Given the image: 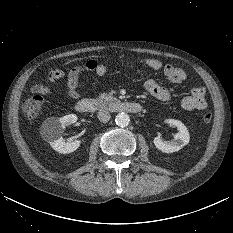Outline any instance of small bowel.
<instances>
[{"mask_svg":"<svg viewBox=\"0 0 233 233\" xmlns=\"http://www.w3.org/2000/svg\"><path fill=\"white\" fill-rule=\"evenodd\" d=\"M140 63L146 65L152 70L163 69L165 76L172 83H182L186 80L187 75L181 68L173 65L163 66L161 61L154 58L141 59ZM83 71H91L98 77H103L107 73V68L104 64L98 62L95 59H89L85 63L70 69L65 72L60 69L52 70L48 75L49 83L36 84L32 87V92L36 95L45 96L51 92L52 84L58 82L61 79L66 78V88L68 96L76 100L81 97L78 90L79 77ZM144 88L148 94L160 101H168L171 98V94L168 89L159 85L153 79H148L144 83ZM182 108L186 111L204 110L207 107L205 98L204 87H194L190 93L182 99Z\"/></svg>","mask_w":233,"mask_h":233,"instance_id":"obj_1","label":"small bowel"}]
</instances>
